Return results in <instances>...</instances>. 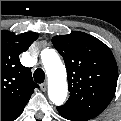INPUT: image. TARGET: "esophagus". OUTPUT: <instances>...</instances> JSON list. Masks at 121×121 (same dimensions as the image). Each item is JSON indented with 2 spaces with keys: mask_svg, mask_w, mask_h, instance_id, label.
<instances>
[{
  "mask_svg": "<svg viewBox=\"0 0 121 121\" xmlns=\"http://www.w3.org/2000/svg\"><path fill=\"white\" fill-rule=\"evenodd\" d=\"M40 89H41L43 92H45V91L47 90V83H46V82L42 83V84L40 85Z\"/></svg>",
  "mask_w": 121,
  "mask_h": 121,
  "instance_id": "34e87169",
  "label": "esophagus"
}]
</instances>
